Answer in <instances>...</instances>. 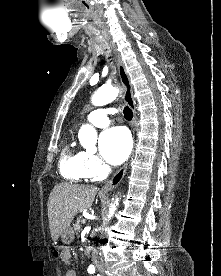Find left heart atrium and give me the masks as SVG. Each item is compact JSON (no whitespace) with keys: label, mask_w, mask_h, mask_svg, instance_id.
<instances>
[{"label":"left heart atrium","mask_w":221,"mask_h":276,"mask_svg":"<svg viewBox=\"0 0 221 276\" xmlns=\"http://www.w3.org/2000/svg\"><path fill=\"white\" fill-rule=\"evenodd\" d=\"M99 146L105 161L112 165H119L126 160L130 153V136L124 128L114 127L102 133Z\"/></svg>","instance_id":"obj_1"}]
</instances>
